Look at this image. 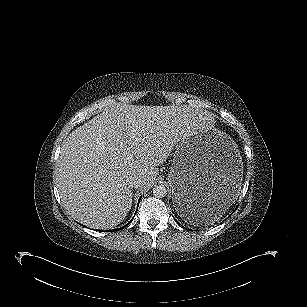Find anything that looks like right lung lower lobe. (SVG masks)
<instances>
[{
  "mask_svg": "<svg viewBox=\"0 0 307 307\" xmlns=\"http://www.w3.org/2000/svg\"><path fill=\"white\" fill-rule=\"evenodd\" d=\"M140 199H141V197H140ZM140 199H139V201H138V205H139ZM137 208H138V207H137ZM136 212H137V211H136ZM133 218H134V217H133ZM131 221H132V220H131ZM131 221H130V222H131ZM130 222H129V223H130ZM123 228H124V227H123Z\"/></svg>",
  "mask_w": 307,
  "mask_h": 307,
  "instance_id": "98d812e1",
  "label": "right lung lower lobe"
}]
</instances>
